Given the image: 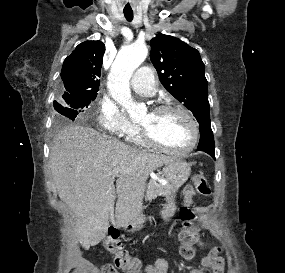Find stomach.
<instances>
[{
	"label": "stomach",
	"instance_id": "1",
	"mask_svg": "<svg viewBox=\"0 0 285 273\" xmlns=\"http://www.w3.org/2000/svg\"><path fill=\"white\" fill-rule=\"evenodd\" d=\"M163 173L172 188V196L168 199L165 205V210L162 211L163 217H166L171 209L174 208V195L177 190L188 180L191 173V166L189 163L175 159L168 164H165ZM144 218H138L133 222H129L134 228H140Z\"/></svg>",
	"mask_w": 285,
	"mask_h": 273
}]
</instances>
